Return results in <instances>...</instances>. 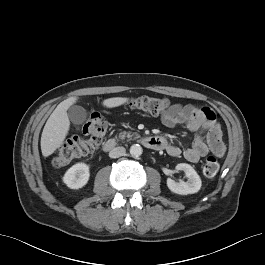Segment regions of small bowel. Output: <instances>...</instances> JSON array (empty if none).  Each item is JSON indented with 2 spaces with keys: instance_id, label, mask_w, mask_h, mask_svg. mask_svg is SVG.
I'll list each match as a JSON object with an SVG mask.
<instances>
[{
  "instance_id": "1",
  "label": "small bowel",
  "mask_w": 265,
  "mask_h": 265,
  "mask_svg": "<svg viewBox=\"0 0 265 265\" xmlns=\"http://www.w3.org/2000/svg\"><path fill=\"white\" fill-rule=\"evenodd\" d=\"M162 123L169 128L184 125L189 131L196 133L191 146L184 151L161 137L165 141L164 149L170 156L177 157L183 154L187 161L196 163L208 153L218 157H222L225 153L220 126L215 120L213 110L208 106L172 104L162 117Z\"/></svg>"
}]
</instances>
